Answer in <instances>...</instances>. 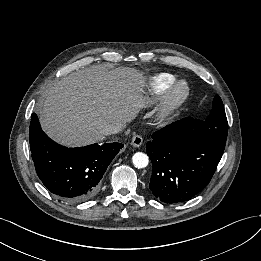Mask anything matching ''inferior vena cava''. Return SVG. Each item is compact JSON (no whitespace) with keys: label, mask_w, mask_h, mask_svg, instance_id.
I'll list each match as a JSON object with an SVG mask.
<instances>
[{"label":"inferior vena cava","mask_w":261,"mask_h":261,"mask_svg":"<svg viewBox=\"0 0 261 261\" xmlns=\"http://www.w3.org/2000/svg\"><path fill=\"white\" fill-rule=\"evenodd\" d=\"M125 125L121 122H115L104 126L101 130L103 135H113L122 132Z\"/></svg>","instance_id":"obj_1"}]
</instances>
